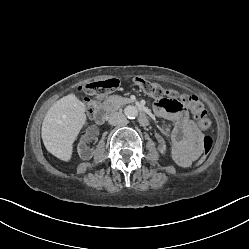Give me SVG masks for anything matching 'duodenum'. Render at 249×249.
Returning <instances> with one entry per match:
<instances>
[{
	"label": "duodenum",
	"mask_w": 249,
	"mask_h": 249,
	"mask_svg": "<svg viewBox=\"0 0 249 249\" xmlns=\"http://www.w3.org/2000/svg\"><path fill=\"white\" fill-rule=\"evenodd\" d=\"M138 110H139V118H138L139 123L142 126L148 125V118H147V115H146L144 109L138 107ZM106 117H107V108L106 107H98L95 111V114H94L95 121L97 123L101 124L106 120Z\"/></svg>",
	"instance_id": "410a0bca"
}]
</instances>
